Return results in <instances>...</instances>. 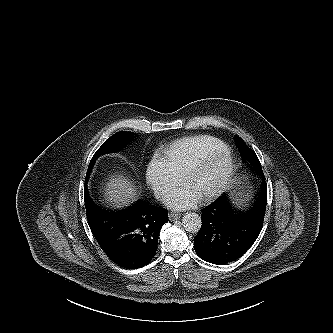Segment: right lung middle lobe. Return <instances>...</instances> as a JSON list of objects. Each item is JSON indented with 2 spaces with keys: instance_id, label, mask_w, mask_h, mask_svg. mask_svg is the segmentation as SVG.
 Returning <instances> with one entry per match:
<instances>
[{
  "instance_id": "dd1d6c3e",
  "label": "right lung middle lobe",
  "mask_w": 333,
  "mask_h": 333,
  "mask_svg": "<svg viewBox=\"0 0 333 333\" xmlns=\"http://www.w3.org/2000/svg\"><path fill=\"white\" fill-rule=\"evenodd\" d=\"M131 138H132L131 133L119 132L111 136L107 141H105L92 157L87 170L86 178H88L93 168V165L99 156L120 150L122 147H124L127 143L130 142Z\"/></svg>"
}]
</instances>
